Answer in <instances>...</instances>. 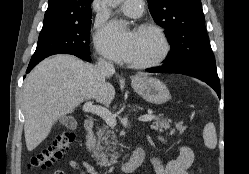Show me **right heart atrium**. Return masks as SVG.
<instances>
[{
  "label": "right heart atrium",
  "instance_id": "obj_1",
  "mask_svg": "<svg viewBox=\"0 0 249 174\" xmlns=\"http://www.w3.org/2000/svg\"><path fill=\"white\" fill-rule=\"evenodd\" d=\"M98 26H99V25H98ZM101 60H102V61H107L108 58H107L106 56H104V55H101Z\"/></svg>",
  "mask_w": 249,
  "mask_h": 174
}]
</instances>
